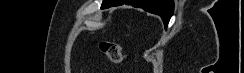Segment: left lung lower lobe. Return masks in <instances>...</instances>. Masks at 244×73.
<instances>
[{"mask_svg": "<svg viewBox=\"0 0 244 73\" xmlns=\"http://www.w3.org/2000/svg\"><path fill=\"white\" fill-rule=\"evenodd\" d=\"M123 4L133 5L143 8L147 12L160 15L165 27H167L174 9L173 0H107L101 9Z\"/></svg>", "mask_w": 244, "mask_h": 73, "instance_id": "0a47b994", "label": "left lung lower lobe"}]
</instances>
